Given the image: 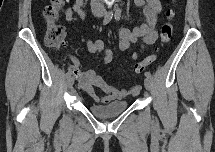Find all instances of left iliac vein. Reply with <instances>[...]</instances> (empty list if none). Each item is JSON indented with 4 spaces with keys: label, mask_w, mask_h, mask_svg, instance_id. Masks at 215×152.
I'll list each match as a JSON object with an SVG mask.
<instances>
[{
    "label": "left iliac vein",
    "mask_w": 215,
    "mask_h": 152,
    "mask_svg": "<svg viewBox=\"0 0 215 152\" xmlns=\"http://www.w3.org/2000/svg\"><path fill=\"white\" fill-rule=\"evenodd\" d=\"M144 86H145V88H146L147 90L150 89V87H151V78H149V77H146V78H145V80H144Z\"/></svg>",
    "instance_id": "left-iliac-vein-1"
}]
</instances>
